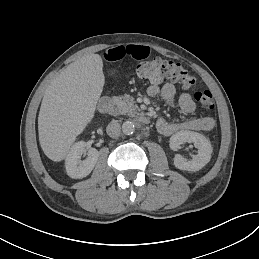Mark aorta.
I'll return each mask as SVG.
<instances>
[{
  "label": "aorta",
  "mask_w": 259,
  "mask_h": 259,
  "mask_svg": "<svg viewBox=\"0 0 259 259\" xmlns=\"http://www.w3.org/2000/svg\"><path fill=\"white\" fill-rule=\"evenodd\" d=\"M135 131L134 123L131 121H126L122 124V132L126 135H131Z\"/></svg>",
  "instance_id": "762f6f07"
}]
</instances>
